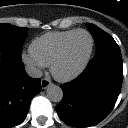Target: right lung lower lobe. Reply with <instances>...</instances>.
<instances>
[{"mask_svg": "<svg viewBox=\"0 0 128 128\" xmlns=\"http://www.w3.org/2000/svg\"><path fill=\"white\" fill-rule=\"evenodd\" d=\"M23 62L2 53L0 64V128L24 121L32 98L41 91V80L24 72Z\"/></svg>", "mask_w": 128, "mask_h": 128, "instance_id": "1", "label": "right lung lower lobe"}]
</instances>
